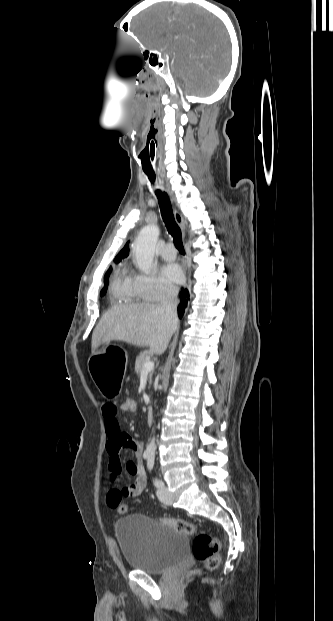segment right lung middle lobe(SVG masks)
<instances>
[{
	"mask_svg": "<svg viewBox=\"0 0 333 621\" xmlns=\"http://www.w3.org/2000/svg\"><path fill=\"white\" fill-rule=\"evenodd\" d=\"M110 271H111V267L109 268V270H108V271H107V273L105 274V277H104V288H103V289L101 290V292H100V295H101V296H104V295L106 294V291H107V286H108V276H109V274H110Z\"/></svg>",
	"mask_w": 333,
	"mask_h": 621,
	"instance_id": "1",
	"label": "right lung middle lobe"
}]
</instances>
